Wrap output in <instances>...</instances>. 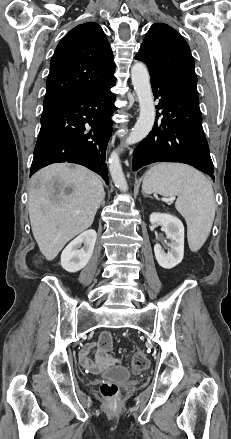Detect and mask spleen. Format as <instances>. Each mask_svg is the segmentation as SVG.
Returning <instances> with one entry per match:
<instances>
[{
  "label": "spleen",
  "mask_w": 231,
  "mask_h": 439,
  "mask_svg": "<svg viewBox=\"0 0 231 439\" xmlns=\"http://www.w3.org/2000/svg\"><path fill=\"white\" fill-rule=\"evenodd\" d=\"M142 190L147 194L178 196L175 207L187 223L188 244L199 250L215 217V198L210 181L198 170L183 164L159 163L146 173Z\"/></svg>",
  "instance_id": "1"
}]
</instances>
